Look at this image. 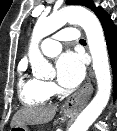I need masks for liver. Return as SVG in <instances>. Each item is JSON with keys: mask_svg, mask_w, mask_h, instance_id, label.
<instances>
[{"mask_svg": "<svg viewBox=\"0 0 117 131\" xmlns=\"http://www.w3.org/2000/svg\"><path fill=\"white\" fill-rule=\"evenodd\" d=\"M57 111L56 106L27 107L19 110L13 117L11 127L24 126L26 124H44L51 121Z\"/></svg>", "mask_w": 117, "mask_h": 131, "instance_id": "1", "label": "liver"}]
</instances>
